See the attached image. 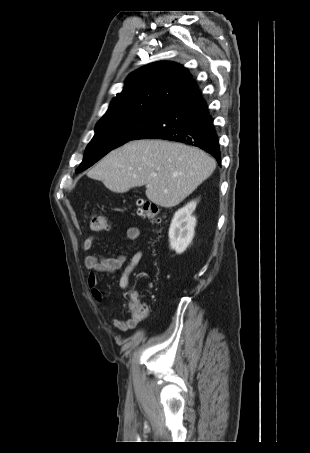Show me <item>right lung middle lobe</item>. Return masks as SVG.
<instances>
[{
  "label": "right lung middle lobe",
  "instance_id": "right-lung-middle-lobe-1",
  "mask_svg": "<svg viewBox=\"0 0 310 453\" xmlns=\"http://www.w3.org/2000/svg\"><path fill=\"white\" fill-rule=\"evenodd\" d=\"M158 117L159 115L136 113L102 117L96 125L95 135L86 147L84 159L76 173L89 168L111 150L135 140Z\"/></svg>",
  "mask_w": 310,
  "mask_h": 453
}]
</instances>
